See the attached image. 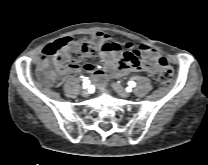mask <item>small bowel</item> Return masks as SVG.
I'll return each mask as SVG.
<instances>
[{"instance_id":"obj_1","label":"small bowel","mask_w":208,"mask_h":165,"mask_svg":"<svg viewBox=\"0 0 208 165\" xmlns=\"http://www.w3.org/2000/svg\"><path fill=\"white\" fill-rule=\"evenodd\" d=\"M90 42L94 45V51L89 54L98 53L103 60L104 67L97 68L94 64L86 63L83 66L74 64L72 61L61 62L58 70L61 73H79L81 71L89 72L97 82H107L108 73L127 74L130 72H146L156 74L158 67L155 60L158 57L156 50L147 45L134 47L127 43V50L123 51L119 42L111 41V36L105 31H98L91 35ZM131 53L133 59H126L125 54ZM151 59L153 62H143L141 57Z\"/></svg>"}]
</instances>
